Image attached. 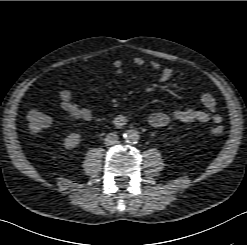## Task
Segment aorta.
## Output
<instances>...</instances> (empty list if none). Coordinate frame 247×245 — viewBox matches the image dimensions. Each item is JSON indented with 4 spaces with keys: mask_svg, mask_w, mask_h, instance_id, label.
Here are the masks:
<instances>
[{
    "mask_svg": "<svg viewBox=\"0 0 247 245\" xmlns=\"http://www.w3.org/2000/svg\"><path fill=\"white\" fill-rule=\"evenodd\" d=\"M123 137L125 138L126 141L130 142V143H136L139 138V132H137L136 130H127L124 134Z\"/></svg>",
    "mask_w": 247,
    "mask_h": 245,
    "instance_id": "762f6f07",
    "label": "aorta"
}]
</instances>
